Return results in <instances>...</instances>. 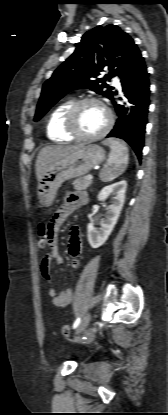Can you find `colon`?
<instances>
[{"instance_id":"1","label":"colon","mask_w":168,"mask_h":415,"mask_svg":"<svg viewBox=\"0 0 168 415\" xmlns=\"http://www.w3.org/2000/svg\"><path fill=\"white\" fill-rule=\"evenodd\" d=\"M47 240H48V232H47L46 223H41L38 227V245L40 247H44L47 244ZM62 333L66 336L71 335L69 326L64 325L62 327ZM91 337H92V333H88L85 336V339H90Z\"/></svg>"}]
</instances>
